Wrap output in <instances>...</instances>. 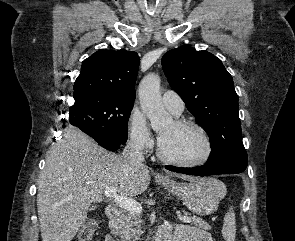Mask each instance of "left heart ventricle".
<instances>
[{"label":"left heart ventricle","mask_w":295,"mask_h":241,"mask_svg":"<svg viewBox=\"0 0 295 241\" xmlns=\"http://www.w3.org/2000/svg\"><path fill=\"white\" fill-rule=\"evenodd\" d=\"M164 153L176 160L194 161L205 153V142L193 128H181L171 123L160 130Z\"/></svg>","instance_id":"left-heart-ventricle-1"}]
</instances>
